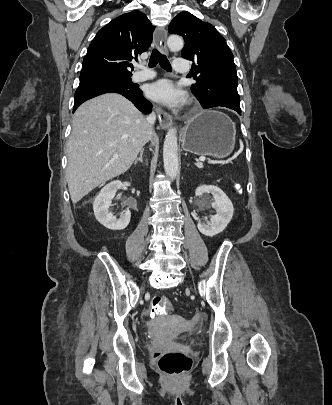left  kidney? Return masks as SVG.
Wrapping results in <instances>:
<instances>
[{"label": "left kidney", "mask_w": 332, "mask_h": 405, "mask_svg": "<svg viewBox=\"0 0 332 405\" xmlns=\"http://www.w3.org/2000/svg\"><path fill=\"white\" fill-rule=\"evenodd\" d=\"M204 193H210L213 195L214 201L212 202L211 207L216 211V214L213 215L207 223L199 222L197 227L202 234L212 237L221 233L226 228L232 219L234 208L230 199L217 186L202 185L195 191L197 196Z\"/></svg>", "instance_id": "5707ae66"}]
</instances>
